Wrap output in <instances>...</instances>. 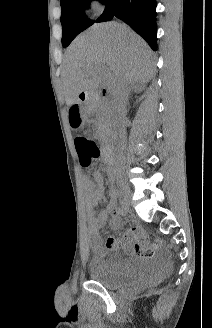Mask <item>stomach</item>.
Segmentation results:
<instances>
[{"label": "stomach", "mask_w": 212, "mask_h": 328, "mask_svg": "<svg viewBox=\"0 0 212 328\" xmlns=\"http://www.w3.org/2000/svg\"><path fill=\"white\" fill-rule=\"evenodd\" d=\"M81 111L82 106L79 102L69 103L66 110L69 128H80L81 124H85V117H82Z\"/></svg>", "instance_id": "1"}]
</instances>
